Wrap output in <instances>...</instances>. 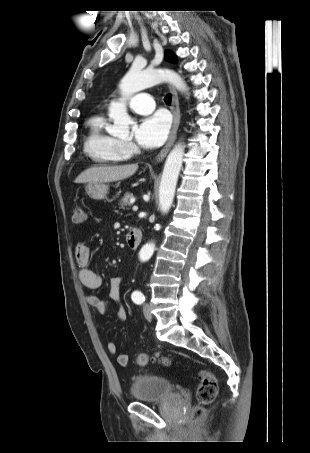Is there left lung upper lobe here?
I'll return each instance as SVG.
<instances>
[{"label": "left lung upper lobe", "mask_w": 310, "mask_h": 453, "mask_svg": "<svg viewBox=\"0 0 310 453\" xmlns=\"http://www.w3.org/2000/svg\"><path fill=\"white\" fill-rule=\"evenodd\" d=\"M165 59L169 62H172V63H176V57L174 54H172L171 52H166L165 53Z\"/></svg>", "instance_id": "5c2ea615"}]
</instances>
